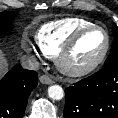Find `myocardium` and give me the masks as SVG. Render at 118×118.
Returning <instances> with one entry per match:
<instances>
[{
	"label": "myocardium",
	"instance_id": "1",
	"mask_svg": "<svg viewBox=\"0 0 118 118\" xmlns=\"http://www.w3.org/2000/svg\"><path fill=\"white\" fill-rule=\"evenodd\" d=\"M94 30L102 31L106 38V45L101 55L93 63L84 67L75 68L68 65L67 63L68 58L70 57L71 53L73 52L79 41L82 39L84 35ZM110 47H111V37L108 31L104 27L95 24L83 27L78 31H76L72 35V37L66 42L63 48L60 50L56 58V66L58 70L66 76L69 77L85 76L96 70L104 62L109 53Z\"/></svg>",
	"mask_w": 118,
	"mask_h": 118
}]
</instances>
